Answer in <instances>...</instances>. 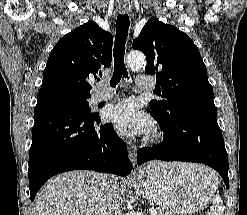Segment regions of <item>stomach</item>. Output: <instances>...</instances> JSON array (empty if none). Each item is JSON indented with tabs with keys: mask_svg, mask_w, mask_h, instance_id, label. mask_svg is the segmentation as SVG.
<instances>
[{
	"mask_svg": "<svg viewBox=\"0 0 247 215\" xmlns=\"http://www.w3.org/2000/svg\"><path fill=\"white\" fill-rule=\"evenodd\" d=\"M193 164L154 162L142 169L135 189L171 215H192L213 196L216 177Z\"/></svg>",
	"mask_w": 247,
	"mask_h": 215,
	"instance_id": "1",
	"label": "stomach"
}]
</instances>
